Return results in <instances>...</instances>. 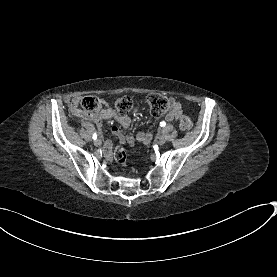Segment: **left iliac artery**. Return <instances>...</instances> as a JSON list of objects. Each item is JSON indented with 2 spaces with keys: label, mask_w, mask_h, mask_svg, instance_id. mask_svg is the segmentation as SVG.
<instances>
[{
  "label": "left iliac artery",
  "mask_w": 277,
  "mask_h": 277,
  "mask_svg": "<svg viewBox=\"0 0 277 277\" xmlns=\"http://www.w3.org/2000/svg\"><path fill=\"white\" fill-rule=\"evenodd\" d=\"M165 125H166V122H165V121L160 122V126H161V127H164Z\"/></svg>",
  "instance_id": "left-iliac-artery-1"
}]
</instances>
